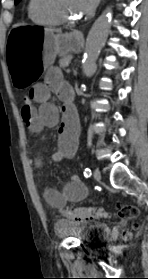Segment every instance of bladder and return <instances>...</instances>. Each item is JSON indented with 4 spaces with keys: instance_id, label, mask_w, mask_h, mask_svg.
Segmentation results:
<instances>
[{
    "instance_id": "31cf9c89",
    "label": "bladder",
    "mask_w": 148,
    "mask_h": 279,
    "mask_svg": "<svg viewBox=\"0 0 148 279\" xmlns=\"http://www.w3.org/2000/svg\"><path fill=\"white\" fill-rule=\"evenodd\" d=\"M59 238H76L87 243L100 242L109 235V227L102 222L60 219L55 223Z\"/></svg>"
}]
</instances>
